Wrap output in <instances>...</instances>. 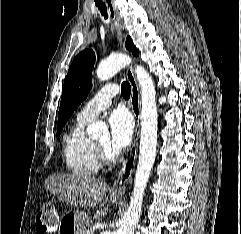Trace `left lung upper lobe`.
I'll return each mask as SVG.
<instances>
[{"label": "left lung upper lobe", "instance_id": "1", "mask_svg": "<svg viewBox=\"0 0 241 234\" xmlns=\"http://www.w3.org/2000/svg\"><path fill=\"white\" fill-rule=\"evenodd\" d=\"M125 46L135 56L139 55L130 37L126 38ZM95 63V54L92 50H84L77 55L68 70L65 78L61 103L58 113L57 136L78 105L87 97L92 87V70Z\"/></svg>", "mask_w": 241, "mask_h": 234}]
</instances>
